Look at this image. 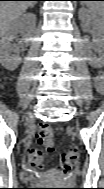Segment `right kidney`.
Listing matches in <instances>:
<instances>
[{
    "mask_svg": "<svg viewBox=\"0 0 104 189\" xmlns=\"http://www.w3.org/2000/svg\"><path fill=\"white\" fill-rule=\"evenodd\" d=\"M36 16L32 13L19 17L0 40V63L6 69L13 71L21 63L20 47L29 43L30 38H22L18 44H12L17 34L25 29L34 28Z\"/></svg>",
    "mask_w": 104,
    "mask_h": 189,
    "instance_id": "ca27d5eb",
    "label": "right kidney"
}]
</instances>
